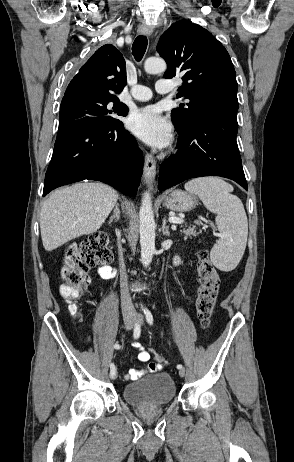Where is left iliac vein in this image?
I'll return each instance as SVG.
<instances>
[{
    "mask_svg": "<svg viewBox=\"0 0 294 462\" xmlns=\"http://www.w3.org/2000/svg\"><path fill=\"white\" fill-rule=\"evenodd\" d=\"M135 318L140 324L143 323V317L141 315H135ZM179 375L181 377H183L185 375V369L184 368L179 369Z\"/></svg>",
    "mask_w": 294,
    "mask_h": 462,
    "instance_id": "left-iliac-vein-1",
    "label": "left iliac vein"
}]
</instances>
